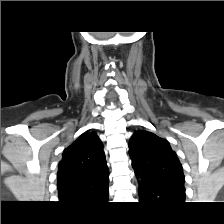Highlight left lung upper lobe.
<instances>
[{
    "mask_svg": "<svg viewBox=\"0 0 224 224\" xmlns=\"http://www.w3.org/2000/svg\"><path fill=\"white\" fill-rule=\"evenodd\" d=\"M132 166L150 182L184 184L182 165L168 141L147 131H137L129 142Z\"/></svg>",
    "mask_w": 224,
    "mask_h": 224,
    "instance_id": "obj_1",
    "label": "left lung upper lobe"
}]
</instances>
